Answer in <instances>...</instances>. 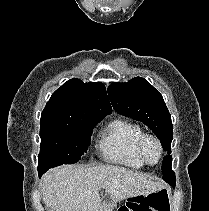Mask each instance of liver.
Masks as SVG:
<instances>
[{"mask_svg": "<svg viewBox=\"0 0 209 211\" xmlns=\"http://www.w3.org/2000/svg\"><path fill=\"white\" fill-rule=\"evenodd\" d=\"M42 200L52 211H106L99 190L113 202L148 195L163 188L161 181L124 167L63 165L43 177Z\"/></svg>", "mask_w": 209, "mask_h": 211, "instance_id": "6515ba94", "label": "liver"}]
</instances>
